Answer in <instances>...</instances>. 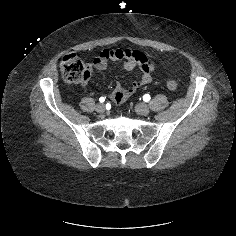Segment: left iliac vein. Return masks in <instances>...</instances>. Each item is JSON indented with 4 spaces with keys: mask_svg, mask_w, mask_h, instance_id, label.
Instances as JSON below:
<instances>
[{
    "mask_svg": "<svg viewBox=\"0 0 236 236\" xmlns=\"http://www.w3.org/2000/svg\"><path fill=\"white\" fill-rule=\"evenodd\" d=\"M136 111L140 114V115H148L150 112L149 107L144 104V103H140L136 105Z\"/></svg>",
    "mask_w": 236,
    "mask_h": 236,
    "instance_id": "4c4485c4",
    "label": "left iliac vein"
}]
</instances>
